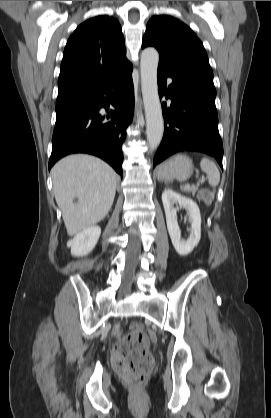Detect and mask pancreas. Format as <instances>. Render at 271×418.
<instances>
[{
    "instance_id": "cf45deb5",
    "label": "pancreas",
    "mask_w": 271,
    "mask_h": 418,
    "mask_svg": "<svg viewBox=\"0 0 271 418\" xmlns=\"http://www.w3.org/2000/svg\"><path fill=\"white\" fill-rule=\"evenodd\" d=\"M199 185H193L189 188H185L184 191L188 192V193H192L193 195H195V193L198 191Z\"/></svg>"
}]
</instances>
